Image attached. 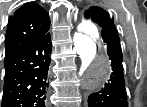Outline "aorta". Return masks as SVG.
Listing matches in <instances>:
<instances>
[{"label": "aorta", "instance_id": "obj_1", "mask_svg": "<svg viewBox=\"0 0 147 107\" xmlns=\"http://www.w3.org/2000/svg\"><path fill=\"white\" fill-rule=\"evenodd\" d=\"M73 41L82 61L80 73L84 87L87 90L101 88L110 78L111 67L97 29L92 24L82 23Z\"/></svg>", "mask_w": 147, "mask_h": 107}]
</instances>
